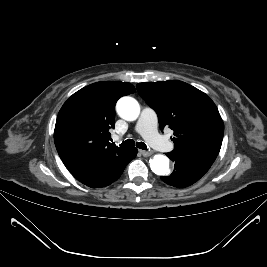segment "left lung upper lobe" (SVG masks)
Listing matches in <instances>:
<instances>
[{
	"mask_svg": "<svg viewBox=\"0 0 267 267\" xmlns=\"http://www.w3.org/2000/svg\"><path fill=\"white\" fill-rule=\"evenodd\" d=\"M139 95L153 108L160 129L174 131V151L210 164L222 144L224 125L214 102L202 91L178 80L137 84Z\"/></svg>",
	"mask_w": 267,
	"mask_h": 267,
	"instance_id": "1",
	"label": "left lung upper lobe"
}]
</instances>
